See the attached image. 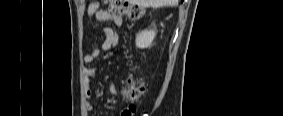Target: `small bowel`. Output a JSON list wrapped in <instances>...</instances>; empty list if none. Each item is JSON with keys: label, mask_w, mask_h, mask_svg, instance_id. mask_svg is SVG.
<instances>
[{"label": "small bowel", "mask_w": 283, "mask_h": 116, "mask_svg": "<svg viewBox=\"0 0 283 116\" xmlns=\"http://www.w3.org/2000/svg\"><path fill=\"white\" fill-rule=\"evenodd\" d=\"M87 15L89 17H94L99 21H111L114 24V27L105 26L102 28V34L105 37L104 41L100 46L95 47L90 53L84 56V66L82 71L84 76L86 95L87 97H91L93 93L91 78L96 74V68L90 67L89 64L95 62L102 52H109L113 48H116L118 46L119 35L117 28H120L122 26L123 20L121 16L108 12L98 2H94L88 6ZM109 90L113 95L117 93L116 85L114 82L110 83ZM86 109L88 111H92L93 106L90 103H87Z\"/></svg>", "instance_id": "small-bowel-1"}]
</instances>
